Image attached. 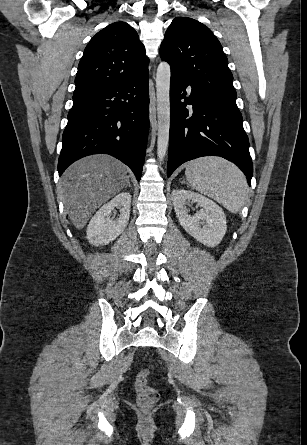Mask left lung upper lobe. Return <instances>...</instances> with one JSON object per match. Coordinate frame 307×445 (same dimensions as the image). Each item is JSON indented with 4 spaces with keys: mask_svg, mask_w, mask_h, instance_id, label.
Returning a JSON list of instances; mask_svg holds the SVG:
<instances>
[{
    "mask_svg": "<svg viewBox=\"0 0 307 445\" xmlns=\"http://www.w3.org/2000/svg\"><path fill=\"white\" fill-rule=\"evenodd\" d=\"M160 56L194 89L236 101L233 76L222 46L204 24L176 17L165 33Z\"/></svg>",
    "mask_w": 307,
    "mask_h": 445,
    "instance_id": "left-lung-upper-lobe-1",
    "label": "left lung upper lobe"
}]
</instances>
